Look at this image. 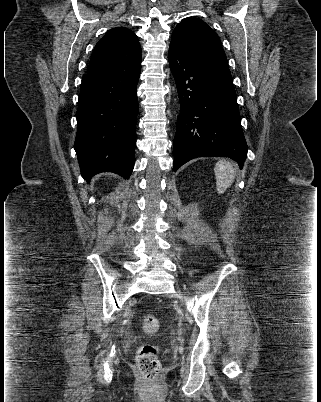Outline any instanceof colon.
<instances>
[{
    "label": "colon",
    "mask_w": 321,
    "mask_h": 402,
    "mask_svg": "<svg viewBox=\"0 0 321 402\" xmlns=\"http://www.w3.org/2000/svg\"><path fill=\"white\" fill-rule=\"evenodd\" d=\"M141 326L147 333H154L159 323L155 316L145 315L141 320ZM136 365L140 373L150 382L158 376L161 364L158 356V348L152 344L141 345L136 353Z\"/></svg>",
    "instance_id": "colon-1"
}]
</instances>
